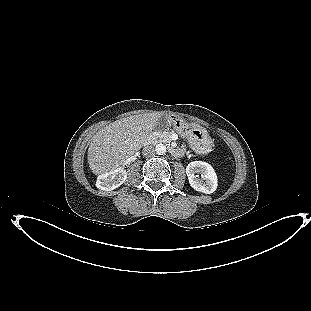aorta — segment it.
Segmentation results:
<instances>
[{
	"label": "aorta",
	"mask_w": 311,
	"mask_h": 311,
	"mask_svg": "<svg viewBox=\"0 0 311 311\" xmlns=\"http://www.w3.org/2000/svg\"><path fill=\"white\" fill-rule=\"evenodd\" d=\"M155 152L158 155H164L166 153V146L164 144H157L155 147Z\"/></svg>",
	"instance_id": "obj_1"
}]
</instances>
